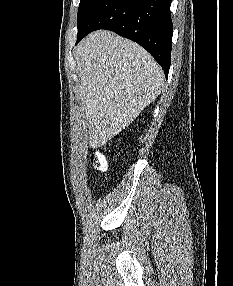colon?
Instances as JSON below:
<instances>
[{"label": "colon", "mask_w": 233, "mask_h": 286, "mask_svg": "<svg viewBox=\"0 0 233 286\" xmlns=\"http://www.w3.org/2000/svg\"><path fill=\"white\" fill-rule=\"evenodd\" d=\"M91 162L93 166L101 172H105L108 168V157L104 153L94 152L91 155Z\"/></svg>", "instance_id": "colon-1"}]
</instances>
